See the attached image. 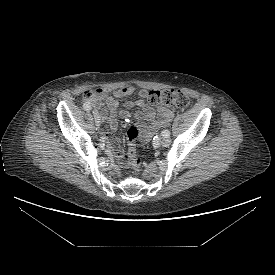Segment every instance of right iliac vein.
I'll return each instance as SVG.
<instances>
[{
	"instance_id": "obj_1",
	"label": "right iliac vein",
	"mask_w": 275,
	"mask_h": 275,
	"mask_svg": "<svg viewBox=\"0 0 275 275\" xmlns=\"http://www.w3.org/2000/svg\"><path fill=\"white\" fill-rule=\"evenodd\" d=\"M93 115H94V119H95L96 126L99 127V126H100V123H101L100 114L98 113V111L94 110V111H93Z\"/></svg>"
}]
</instances>
